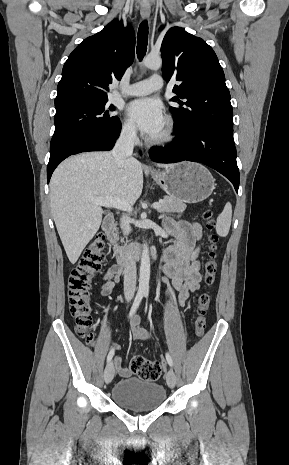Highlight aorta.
Returning <instances> with one entry per match:
<instances>
[{
	"label": "aorta",
	"mask_w": 289,
	"mask_h": 465,
	"mask_svg": "<svg viewBox=\"0 0 289 465\" xmlns=\"http://www.w3.org/2000/svg\"><path fill=\"white\" fill-rule=\"evenodd\" d=\"M143 65L147 68L157 70L162 66V59L158 55H148L143 60ZM150 279V257L149 250L146 244L143 245L141 262H140V275H139V290L148 291Z\"/></svg>",
	"instance_id": "obj_1"
}]
</instances>
